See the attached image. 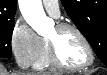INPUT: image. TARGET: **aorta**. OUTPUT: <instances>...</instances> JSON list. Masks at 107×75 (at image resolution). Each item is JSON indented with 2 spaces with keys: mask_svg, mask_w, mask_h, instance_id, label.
<instances>
[{
  "mask_svg": "<svg viewBox=\"0 0 107 75\" xmlns=\"http://www.w3.org/2000/svg\"><path fill=\"white\" fill-rule=\"evenodd\" d=\"M20 11L26 22L39 35H45L50 21L47 18L41 0H19Z\"/></svg>",
  "mask_w": 107,
  "mask_h": 75,
  "instance_id": "obj_1",
  "label": "aorta"
}]
</instances>
